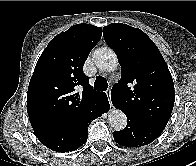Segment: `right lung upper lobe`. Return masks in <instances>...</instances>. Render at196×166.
<instances>
[{"label": "right lung upper lobe", "instance_id": "obj_1", "mask_svg": "<svg viewBox=\"0 0 196 166\" xmlns=\"http://www.w3.org/2000/svg\"><path fill=\"white\" fill-rule=\"evenodd\" d=\"M101 36L102 28L77 24L49 42L28 87L27 112L35 133L75 126L89 106L107 98L90 86L83 73V65Z\"/></svg>", "mask_w": 196, "mask_h": 166}]
</instances>
